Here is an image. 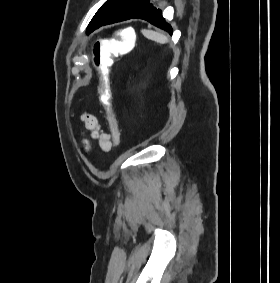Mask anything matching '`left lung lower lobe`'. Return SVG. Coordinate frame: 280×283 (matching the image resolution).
Here are the masks:
<instances>
[{"instance_id":"1","label":"left lung lower lobe","mask_w":280,"mask_h":283,"mask_svg":"<svg viewBox=\"0 0 280 283\" xmlns=\"http://www.w3.org/2000/svg\"><path fill=\"white\" fill-rule=\"evenodd\" d=\"M131 18L146 20L151 24L155 25L156 27L161 28L172 34V27L163 18L161 9H157L153 4L149 2V0H147V2L133 15L129 17H117L110 20H106L100 26L128 20Z\"/></svg>"}]
</instances>
